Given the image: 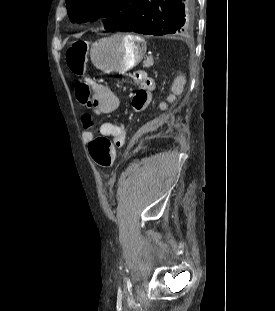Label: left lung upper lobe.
<instances>
[{
  "mask_svg": "<svg viewBox=\"0 0 275 311\" xmlns=\"http://www.w3.org/2000/svg\"><path fill=\"white\" fill-rule=\"evenodd\" d=\"M140 3L141 0H66L71 22L110 17L105 21L104 28L111 32L130 21L136 15Z\"/></svg>",
  "mask_w": 275,
  "mask_h": 311,
  "instance_id": "5c2ea615",
  "label": "left lung upper lobe"
}]
</instances>
